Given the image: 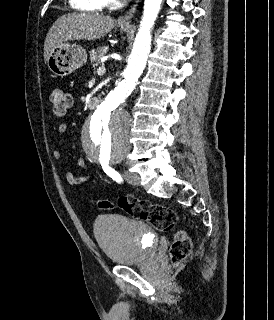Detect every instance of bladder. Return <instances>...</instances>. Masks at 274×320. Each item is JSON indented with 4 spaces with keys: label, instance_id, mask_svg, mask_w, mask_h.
Masks as SVG:
<instances>
[{
    "label": "bladder",
    "instance_id": "obj_1",
    "mask_svg": "<svg viewBox=\"0 0 274 320\" xmlns=\"http://www.w3.org/2000/svg\"><path fill=\"white\" fill-rule=\"evenodd\" d=\"M93 233L106 258L120 266L147 262L153 258L158 243V236L149 225L113 214L99 216Z\"/></svg>",
    "mask_w": 274,
    "mask_h": 320
}]
</instances>
